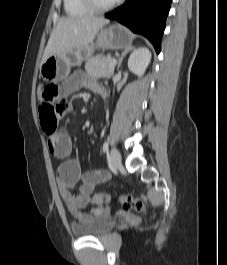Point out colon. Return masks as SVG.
Wrapping results in <instances>:
<instances>
[{
	"mask_svg": "<svg viewBox=\"0 0 227 265\" xmlns=\"http://www.w3.org/2000/svg\"><path fill=\"white\" fill-rule=\"evenodd\" d=\"M59 87L56 84L39 85V113L42 127L46 134H51L57 128L59 117L64 112H58L56 104L58 103ZM105 196L98 194L92 198V202L98 204L104 200ZM122 207L126 211L143 212L145 209L141 199L131 195H122L118 198Z\"/></svg>",
	"mask_w": 227,
	"mask_h": 265,
	"instance_id": "obj_1",
	"label": "colon"
}]
</instances>
